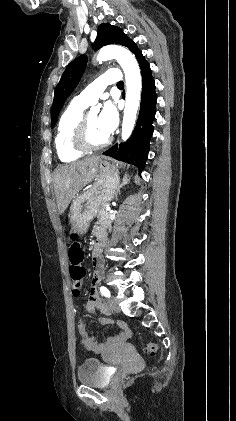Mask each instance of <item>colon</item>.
<instances>
[{"label": "colon", "instance_id": "obj_1", "mask_svg": "<svg viewBox=\"0 0 236 421\" xmlns=\"http://www.w3.org/2000/svg\"><path fill=\"white\" fill-rule=\"evenodd\" d=\"M68 258L70 262L69 273L73 286V293L78 296L85 277V268L82 266L84 259V251L77 241H72L68 247ZM157 346L154 342H149L144 346V353L146 355H154ZM129 379L126 378V381Z\"/></svg>", "mask_w": 236, "mask_h": 421}]
</instances>
